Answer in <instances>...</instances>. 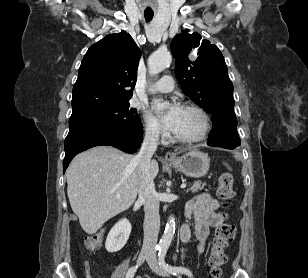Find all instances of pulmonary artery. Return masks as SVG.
<instances>
[{"instance_id": "e3ab8cb5", "label": "pulmonary artery", "mask_w": 308, "mask_h": 278, "mask_svg": "<svg viewBox=\"0 0 308 278\" xmlns=\"http://www.w3.org/2000/svg\"><path fill=\"white\" fill-rule=\"evenodd\" d=\"M174 89V81L171 76H163L151 88V93H167Z\"/></svg>"}]
</instances>
